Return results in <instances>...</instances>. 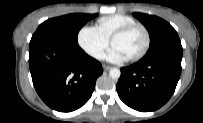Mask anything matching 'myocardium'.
<instances>
[{"label": "myocardium", "instance_id": "myocardium-1", "mask_svg": "<svg viewBox=\"0 0 203 123\" xmlns=\"http://www.w3.org/2000/svg\"><path fill=\"white\" fill-rule=\"evenodd\" d=\"M134 29H141L143 31V33L145 35V44L139 53L128 58L129 61H137V60L141 59L142 57H144L146 55V53L148 52V50L150 48V44H151V37H150V33H149L148 29L143 24H140V23L130 24V25H127V26L122 27L119 30H117L110 39V43L113 46V42L115 41V39L128 34L129 32H131Z\"/></svg>", "mask_w": 203, "mask_h": 123}]
</instances>
